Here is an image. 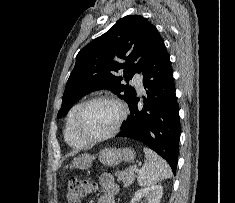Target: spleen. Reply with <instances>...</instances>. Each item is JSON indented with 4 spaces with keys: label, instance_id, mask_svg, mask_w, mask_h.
Returning a JSON list of instances; mask_svg holds the SVG:
<instances>
[{
    "label": "spleen",
    "instance_id": "3e777b00",
    "mask_svg": "<svg viewBox=\"0 0 235 203\" xmlns=\"http://www.w3.org/2000/svg\"><path fill=\"white\" fill-rule=\"evenodd\" d=\"M147 161L138 172L140 186H152L164 179L172 177V171L167 162L149 148L143 149Z\"/></svg>",
    "mask_w": 235,
    "mask_h": 203
}]
</instances>
